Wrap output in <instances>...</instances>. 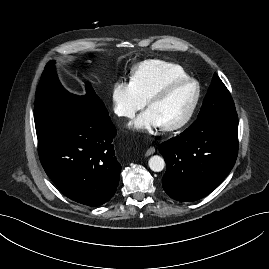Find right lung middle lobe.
Masks as SVG:
<instances>
[{
  "label": "right lung middle lobe",
  "mask_w": 269,
  "mask_h": 269,
  "mask_svg": "<svg viewBox=\"0 0 269 269\" xmlns=\"http://www.w3.org/2000/svg\"><path fill=\"white\" fill-rule=\"evenodd\" d=\"M85 114L101 120L109 118L103 101L89 82L86 83V95L71 94L59 82L54 64L46 66L36 91L34 119L37 138L69 127Z\"/></svg>",
  "instance_id": "dd1d6c3e"
}]
</instances>
